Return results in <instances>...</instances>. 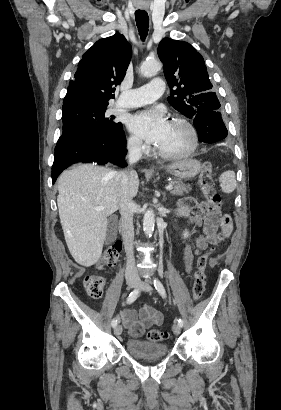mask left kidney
Masks as SVG:
<instances>
[{
	"mask_svg": "<svg viewBox=\"0 0 281 410\" xmlns=\"http://www.w3.org/2000/svg\"><path fill=\"white\" fill-rule=\"evenodd\" d=\"M188 235H189V234H188L187 231H185V232L183 233L184 238H185V237H188Z\"/></svg>",
	"mask_w": 281,
	"mask_h": 410,
	"instance_id": "left-kidney-1",
	"label": "left kidney"
}]
</instances>
